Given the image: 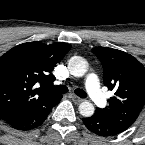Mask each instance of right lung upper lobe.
Segmentation results:
<instances>
[{"mask_svg": "<svg viewBox=\"0 0 145 145\" xmlns=\"http://www.w3.org/2000/svg\"><path fill=\"white\" fill-rule=\"evenodd\" d=\"M71 49L67 43L46 45L29 42L15 46L0 57V118L35 110L59 94L42 86L53 84L51 73ZM35 85H40L36 88Z\"/></svg>", "mask_w": 145, "mask_h": 145, "instance_id": "right-lung-upper-lobe-1", "label": "right lung upper lobe"}]
</instances>
